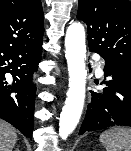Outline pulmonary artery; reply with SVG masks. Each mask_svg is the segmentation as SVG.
<instances>
[{
	"mask_svg": "<svg viewBox=\"0 0 131 151\" xmlns=\"http://www.w3.org/2000/svg\"><path fill=\"white\" fill-rule=\"evenodd\" d=\"M96 72H97V74H99V75H102V74H103V71H102V69H101L100 67H97Z\"/></svg>",
	"mask_w": 131,
	"mask_h": 151,
	"instance_id": "obj_1",
	"label": "pulmonary artery"
}]
</instances>
